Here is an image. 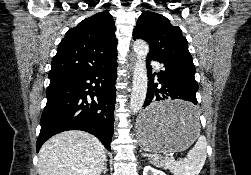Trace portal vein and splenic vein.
<instances>
[{"label":"portal vein and splenic vein","mask_w":251,"mask_h":175,"mask_svg":"<svg viewBox=\"0 0 251 175\" xmlns=\"http://www.w3.org/2000/svg\"><path fill=\"white\" fill-rule=\"evenodd\" d=\"M176 155L175 151H169L168 153L165 154L166 158H174Z\"/></svg>","instance_id":"portal-vein-and-splenic-vein-1"}]
</instances>
